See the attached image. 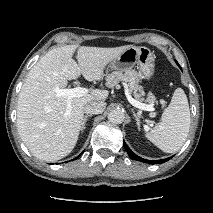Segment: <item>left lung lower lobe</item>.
Returning <instances> with one entry per match:
<instances>
[{
	"label": "left lung lower lobe",
	"mask_w": 213,
	"mask_h": 213,
	"mask_svg": "<svg viewBox=\"0 0 213 213\" xmlns=\"http://www.w3.org/2000/svg\"><path fill=\"white\" fill-rule=\"evenodd\" d=\"M123 145H124V148L127 151L128 155L130 156V158L137 160V161H141V162L149 163V164H157V163L161 164V163H164V162L168 161L169 159H171V157H169V158H165V159H161V160H146V159H143V158L137 156L135 153H133L131 151V149L127 146L125 141L123 142Z\"/></svg>",
	"instance_id": "1"
}]
</instances>
